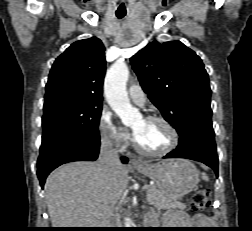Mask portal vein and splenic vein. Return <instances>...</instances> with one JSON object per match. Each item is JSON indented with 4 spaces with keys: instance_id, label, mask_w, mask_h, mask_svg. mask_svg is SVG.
I'll return each instance as SVG.
<instances>
[{
    "instance_id": "18ae733b",
    "label": "portal vein and splenic vein",
    "mask_w": 252,
    "mask_h": 231,
    "mask_svg": "<svg viewBox=\"0 0 252 231\" xmlns=\"http://www.w3.org/2000/svg\"><path fill=\"white\" fill-rule=\"evenodd\" d=\"M143 189H144V190H148V189H149V186H148V185H145V186L143 187Z\"/></svg>"
}]
</instances>
